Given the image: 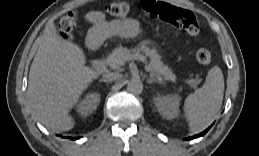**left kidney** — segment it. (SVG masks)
<instances>
[{
	"label": "left kidney",
	"instance_id": "5707ae66",
	"mask_svg": "<svg viewBox=\"0 0 259 156\" xmlns=\"http://www.w3.org/2000/svg\"><path fill=\"white\" fill-rule=\"evenodd\" d=\"M154 103L163 118L171 120L178 117L180 105V97L178 95H158L154 99Z\"/></svg>",
	"mask_w": 259,
	"mask_h": 156
}]
</instances>
